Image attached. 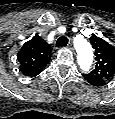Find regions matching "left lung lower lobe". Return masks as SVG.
<instances>
[{"label":"left lung lower lobe","mask_w":115,"mask_h":119,"mask_svg":"<svg viewBox=\"0 0 115 119\" xmlns=\"http://www.w3.org/2000/svg\"><path fill=\"white\" fill-rule=\"evenodd\" d=\"M84 77L93 86L99 87L105 85L106 83V80L96 75L85 74Z\"/></svg>","instance_id":"1"}]
</instances>
